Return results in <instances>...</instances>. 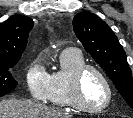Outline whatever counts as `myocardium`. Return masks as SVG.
I'll return each instance as SVG.
<instances>
[{
    "label": "myocardium",
    "mask_w": 133,
    "mask_h": 118,
    "mask_svg": "<svg viewBox=\"0 0 133 118\" xmlns=\"http://www.w3.org/2000/svg\"><path fill=\"white\" fill-rule=\"evenodd\" d=\"M88 71H94L97 73L101 79L104 81V84L107 88V100L106 102L97 108L89 107L85 104L82 95H81V87H82V80L84 75ZM114 97V91L111 84L110 79L105 74V72L100 69L99 67L92 65V64H84L80 66L72 75L70 80V99L74 105L75 108H77L80 111L90 113V114H99L104 112L109 108L113 101Z\"/></svg>",
    "instance_id": "1"
}]
</instances>
